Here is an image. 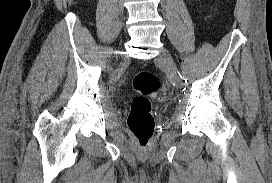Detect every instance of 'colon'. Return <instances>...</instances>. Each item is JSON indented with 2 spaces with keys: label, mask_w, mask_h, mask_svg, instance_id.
Instances as JSON below:
<instances>
[{
  "label": "colon",
  "mask_w": 272,
  "mask_h": 183,
  "mask_svg": "<svg viewBox=\"0 0 272 183\" xmlns=\"http://www.w3.org/2000/svg\"><path fill=\"white\" fill-rule=\"evenodd\" d=\"M132 86L137 96L131 102L127 125L137 144L145 147L155 126L150 98L157 97L160 80L150 71H140L133 77Z\"/></svg>",
  "instance_id": "colon-1"
}]
</instances>
